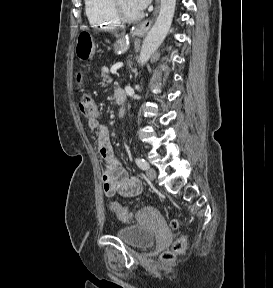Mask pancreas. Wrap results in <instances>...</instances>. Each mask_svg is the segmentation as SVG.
<instances>
[{"mask_svg": "<svg viewBox=\"0 0 273 288\" xmlns=\"http://www.w3.org/2000/svg\"><path fill=\"white\" fill-rule=\"evenodd\" d=\"M101 76H102V82H101L102 86H105L106 83H110L112 81L109 70L106 68L102 69Z\"/></svg>", "mask_w": 273, "mask_h": 288, "instance_id": "obj_1", "label": "pancreas"}]
</instances>
